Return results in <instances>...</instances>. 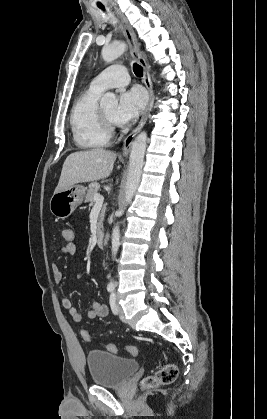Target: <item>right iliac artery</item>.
Masks as SVG:
<instances>
[{"mask_svg":"<svg viewBox=\"0 0 267 419\" xmlns=\"http://www.w3.org/2000/svg\"><path fill=\"white\" fill-rule=\"evenodd\" d=\"M113 290H114V287H113V286H109V287H108V291H109V292H111V291H113Z\"/></svg>","mask_w":267,"mask_h":419,"instance_id":"1","label":"right iliac artery"}]
</instances>
